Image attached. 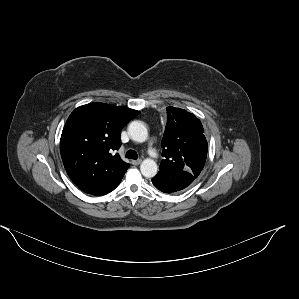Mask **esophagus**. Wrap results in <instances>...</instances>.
<instances>
[{"label":"esophagus","mask_w":299,"mask_h":299,"mask_svg":"<svg viewBox=\"0 0 299 299\" xmlns=\"http://www.w3.org/2000/svg\"><path fill=\"white\" fill-rule=\"evenodd\" d=\"M141 162H142L141 159H137V160H132V161H131V163H132L133 165H139Z\"/></svg>","instance_id":"esophagus-1"}]
</instances>
